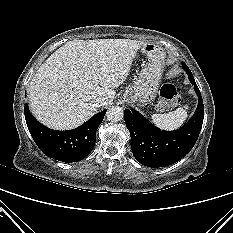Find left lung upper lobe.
<instances>
[{
  "label": "left lung upper lobe",
  "mask_w": 233,
  "mask_h": 233,
  "mask_svg": "<svg viewBox=\"0 0 233 233\" xmlns=\"http://www.w3.org/2000/svg\"><path fill=\"white\" fill-rule=\"evenodd\" d=\"M182 66H183V69L187 72L188 75L192 74L190 69L188 68V66L184 62L182 63Z\"/></svg>",
  "instance_id": "1"
}]
</instances>
